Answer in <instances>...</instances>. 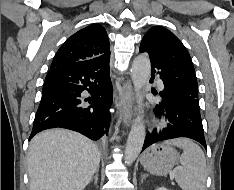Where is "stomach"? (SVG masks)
Returning a JSON list of instances; mask_svg holds the SVG:
<instances>
[{
  "label": "stomach",
  "mask_w": 234,
  "mask_h": 190,
  "mask_svg": "<svg viewBox=\"0 0 234 190\" xmlns=\"http://www.w3.org/2000/svg\"><path fill=\"white\" fill-rule=\"evenodd\" d=\"M178 152L167 144H157L147 149L141 157L144 169L154 175L163 176L177 164Z\"/></svg>",
  "instance_id": "stomach-1"
}]
</instances>
